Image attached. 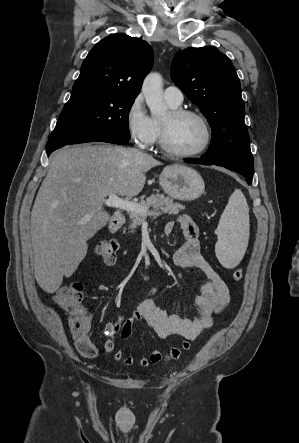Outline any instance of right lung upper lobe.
Returning a JSON list of instances; mask_svg holds the SVG:
<instances>
[{
  "label": "right lung upper lobe",
  "instance_id": "right-lung-upper-lobe-1",
  "mask_svg": "<svg viewBox=\"0 0 299 443\" xmlns=\"http://www.w3.org/2000/svg\"><path fill=\"white\" fill-rule=\"evenodd\" d=\"M152 65L153 50L147 42L113 34L89 52L72 90L96 89L137 97Z\"/></svg>",
  "mask_w": 299,
  "mask_h": 443
}]
</instances>
